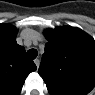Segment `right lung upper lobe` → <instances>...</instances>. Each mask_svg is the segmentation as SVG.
Here are the masks:
<instances>
[{"instance_id": "right-lung-upper-lobe-1", "label": "right lung upper lobe", "mask_w": 95, "mask_h": 95, "mask_svg": "<svg viewBox=\"0 0 95 95\" xmlns=\"http://www.w3.org/2000/svg\"><path fill=\"white\" fill-rule=\"evenodd\" d=\"M17 30L7 24L0 25V93L18 95L29 73L36 65L25 55V49L16 43Z\"/></svg>"}]
</instances>
